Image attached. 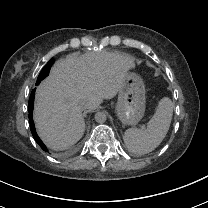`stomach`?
I'll return each instance as SVG.
<instances>
[{"label": "stomach", "mask_w": 208, "mask_h": 208, "mask_svg": "<svg viewBox=\"0 0 208 208\" xmlns=\"http://www.w3.org/2000/svg\"><path fill=\"white\" fill-rule=\"evenodd\" d=\"M116 112L126 125H136L145 112V86L136 73H128L119 89Z\"/></svg>", "instance_id": "0dacf381"}]
</instances>
